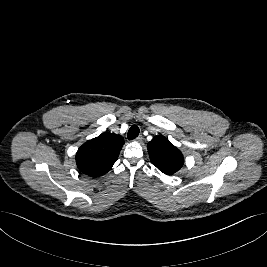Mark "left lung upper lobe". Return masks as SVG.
I'll return each instance as SVG.
<instances>
[{"label":"left lung upper lobe","mask_w":267,"mask_h":267,"mask_svg":"<svg viewBox=\"0 0 267 267\" xmlns=\"http://www.w3.org/2000/svg\"><path fill=\"white\" fill-rule=\"evenodd\" d=\"M147 147L152 164L166 175L174 174L184 164L180 150L164 136L154 137Z\"/></svg>","instance_id":"1"}]
</instances>
